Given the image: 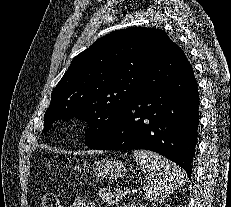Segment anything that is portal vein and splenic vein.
Here are the masks:
<instances>
[{"instance_id": "1", "label": "portal vein and splenic vein", "mask_w": 231, "mask_h": 207, "mask_svg": "<svg viewBox=\"0 0 231 207\" xmlns=\"http://www.w3.org/2000/svg\"><path fill=\"white\" fill-rule=\"evenodd\" d=\"M123 193H124V195H128V194H130V193H131V190H129V189H125Z\"/></svg>"}]
</instances>
